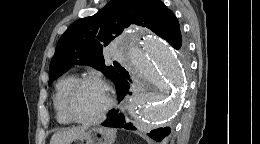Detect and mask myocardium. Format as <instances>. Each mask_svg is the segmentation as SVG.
Returning <instances> with one entry per match:
<instances>
[{
	"label": "myocardium",
	"mask_w": 260,
	"mask_h": 144,
	"mask_svg": "<svg viewBox=\"0 0 260 144\" xmlns=\"http://www.w3.org/2000/svg\"><path fill=\"white\" fill-rule=\"evenodd\" d=\"M87 83H93L99 85L105 94V105L103 109L97 114L95 117L92 118H79L77 117L71 108V103L73 100V97L77 90L84 84ZM112 106V98L109 93V89L106 85V83L94 76H86V77H81L77 78L76 81L70 86L68 91L65 94L64 101H63V109L66 114V116L69 118L71 122L78 123V124H94L99 122L109 111V109Z\"/></svg>",
	"instance_id": "myocardium-1"
}]
</instances>
